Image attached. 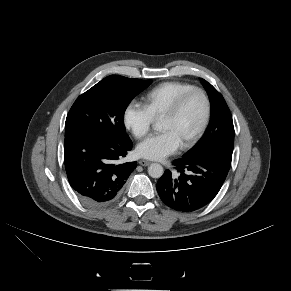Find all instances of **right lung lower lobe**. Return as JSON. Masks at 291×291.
I'll return each mask as SVG.
<instances>
[{"label":"right lung lower lobe","mask_w":291,"mask_h":291,"mask_svg":"<svg viewBox=\"0 0 291 291\" xmlns=\"http://www.w3.org/2000/svg\"><path fill=\"white\" fill-rule=\"evenodd\" d=\"M132 148L128 135L77 133L65 137L64 160L69 183L90 207L112 203L121 193L136 162L120 163Z\"/></svg>","instance_id":"1"}]
</instances>
